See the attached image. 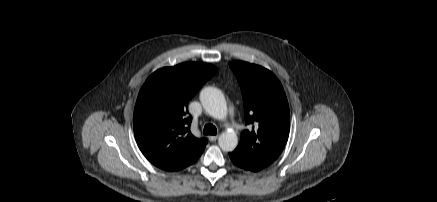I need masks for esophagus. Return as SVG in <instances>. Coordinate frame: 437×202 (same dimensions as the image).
I'll return each instance as SVG.
<instances>
[{
  "mask_svg": "<svg viewBox=\"0 0 437 202\" xmlns=\"http://www.w3.org/2000/svg\"><path fill=\"white\" fill-rule=\"evenodd\" d=\"M218 137H219V135H211V136L209 137V140H210V141H216V140L218 139Z\"/></svg>",
  "mask_w": 437,
  "mask_h": 202,
  "instance_id": "obj_1",
  "label": "esophagus"
}]
</instances>
